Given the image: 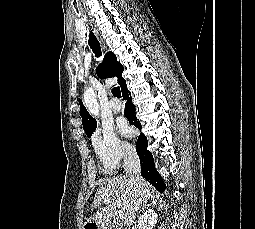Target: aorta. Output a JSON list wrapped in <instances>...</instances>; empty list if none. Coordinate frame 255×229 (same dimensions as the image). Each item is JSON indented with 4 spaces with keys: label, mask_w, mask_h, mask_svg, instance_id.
<instances>
[{
    "label": "aorta",
    "mask_w": 255,
    "mask_h": 229,
    "mask_svg": "<svg viewBox=\"0 0 255 229\" xmlns=\"http://www.w3.org/2000/svg\"><path fill=\"white\" fill-rule=\"evenodd\" d=\"M83 102L89 113L95 117L99 115V104L94 90L86 88L83 94Z\"/></svg>",
    "instance_id": "762f6f07"
}]
</instances>
